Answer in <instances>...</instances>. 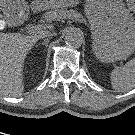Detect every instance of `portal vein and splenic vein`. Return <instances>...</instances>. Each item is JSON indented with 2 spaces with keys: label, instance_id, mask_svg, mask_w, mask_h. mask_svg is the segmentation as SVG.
<instances>
[{
  "label": "portal vein and splenic vein",
  "instance_id": "1",
  "mask_svg": "<svg viewBox=\"0 0 135 135\" xmlns=\"http://www.w3.org/2000/svg\"><path fill=\"white\" fill-rule=\"evenodd\" d=\"M43 29H44V25L39 24L36 26H32L28 31L30 34H33V33L41 32V31H43Z\"/></svg>",
  "mask_w": 135,
  "mask_h": 135
}]
</instances>
